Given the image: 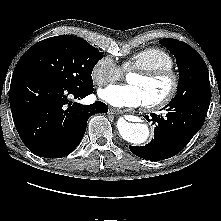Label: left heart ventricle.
<instances>
[{
	"instance_id": "left-heart-ventricle-1",
	"label": "left heart ventricle",
	"mask_w": 221,
	"mask_h": 221,
	"mask_svg": "<svg viewBox=\"0 0 221 221\" xmlns=\"http://www.w3.org/2000/svg\"><path fill=\"white\" fill-rule=\"evenodd\" d=\"M127 81L138 87L144 98V104L163 98L168 93L171 85L168 78L148 79L136 74H129Z\"/></svg>"
}]
</instances>
